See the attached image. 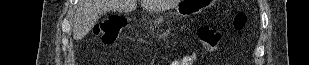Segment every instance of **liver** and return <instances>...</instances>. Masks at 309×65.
I'll return each mask as SVG.
<instances>
[{
	"instance_id": "liver-1",
	"label": "liver",
	"mask_w": 309,
	"mask_h": 65,
	"mask_svg": "<svg viewBox=\"0 0 309 65\" xmlns=\"http://www.w3.org/2000/svg\"><path fill=\"white\" fill-rule=\"evenodd\" d=\"M170 0H141V6L154 12L169 9ZM137 8V0H79L73 19V38L83 39L99 17L107 11L130 12Z\"/></svg>"
}]
</instances>
